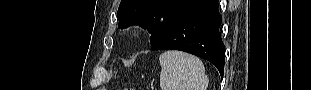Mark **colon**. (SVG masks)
<instances>
[{
    "label": "colon",
    "mask_w": 311,
    "mask_h": 90,
    "mask_svg": "<svg viewBox=\"0 0 311 90\" xmlns=\"http://www.w3.org/2000/svg\"><path fill=\"white\" fill-rule=\"evenodd\" d=\"M124 90H132V89H130V88H125Z\"/></svg>",
    "instance_id": "colon-1"
}]
</instances>
